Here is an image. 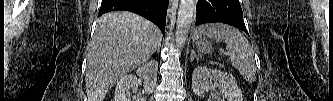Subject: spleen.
I'll return each mask as SVG.
<instances>
[{"instance_id":"obj_1","label":"spleen","mask_w":333,"mask_h":101,"mask_svg":"<svg viewBox=\"0 0 333 101\" xmlns=\"http://www.w3.org/2000/svg\"><path fill=\"white\" fill-rule=\"evenodd\" d=\"M202 35L226 43L232 65L247 82L253 83L255 81L256 66L253 50L239 30L221 23L209 24L197 28L193 32V39L196 40Z\"/></svg>"}]
</instances>
